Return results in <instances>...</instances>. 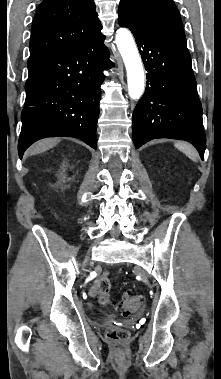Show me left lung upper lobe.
<instances>
[{
	"label": "left lung upper lobe",
	"mask_w": 221,
	"mask_h": 379,
	"mask_svg": "<svg viewBox=\"0 0 221 379\" xmlns=\"http://www.w3.org/2000/svg\"><path fill=\"white\" fill-rule=\"evenodd\" d=\"M125 9L147 29L186 41L180 13L172 0H120Z\"/></svg>",
	"instance_id": "5c2ea615"
}]
</instances>
